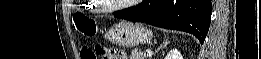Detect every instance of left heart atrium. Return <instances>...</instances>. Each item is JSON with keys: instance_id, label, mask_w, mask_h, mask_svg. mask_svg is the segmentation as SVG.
Returning a JSON list of instances; mask_svg holds the SVG:
<instances>
[{"instance_id": "obj_1", "label": "left heart atrium", "mask_w": 261, "mask_h": 59, "mask_svg": "<svg viewBox=\"0 0 261 59\" xmlns=\"http://www.w3.org/2000/svg\"><path fill=\"white\" fill-rule=\"evenodd\" d=\"M128 2H131V3H133V2H136V1H128Z\"/></svg>"}]
</instances>
